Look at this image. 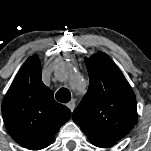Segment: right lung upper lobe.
I'll use <instances>...</instances> for the list:
<instances>
[{
	"label": "right lung upper lobe",
	"mask_w": 151,
	"mask_h": 151,
	"mask_svg": "<svg viewBox=\"0 0 151 151\" xmlns=\"http://www.w3.org/2000/svg\"><path fill=\"white\" fill-rule=\"evenodd\" d=\"M2 116L11 137L21 146L39 150L49 146L71 116L43 84L37 55L29 57L17 73L2 102Z\"/></svg>",
	"instance_id": "right-lung-upper-lobe-1"
}]
</instances>
